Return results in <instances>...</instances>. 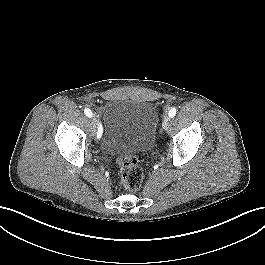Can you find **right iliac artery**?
Instances as JSON below:
<instances>
[{
    "label": "right iliac artery",
    "mask_w": 265,
    "mask_h": 265,
    "mask_svg": "<svg viewBox=\"0 0 265 265\" xmlns=\"http://www.w3.org/2000/svg\"><path fill=\"white\" fill-rule=\"evenodd\" d=\"M84 113H85V115L87 116V117H92V111L90 110V109H88V108H86L85 110H84ZM100 136H101V131H98L97 132V137L98 138H100Z\"/></svg>",
    "instance_id": "82829eb1"
}]
</instances>
